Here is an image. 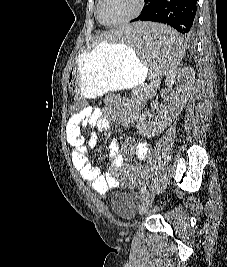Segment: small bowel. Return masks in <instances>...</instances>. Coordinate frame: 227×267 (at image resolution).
I'll return each mask as SVG.
<instances>
[{
	"instance_id": "c3829d8e",
	"label": "small bowel",
	"mask_w": 227,
	"mask_h": 267,
	"mask_svg": "<svg viewBox=\"0 0 227 267\" xmlns=\"http://www.w3.org/2000/svg\"><path fill=\"white\" fill-rule=\"evenodd\" d=\"M140 112V105L128 98L117 101V107L113 111H104L94 106L85 107L80 115H71L67 121L65 134L67 142L73 147L71 159L79 176L88 182L92 189L98 193H106L118 186L119 179L114 171L102 175L98 168H95L87 158L86 139L82 129L89 131L88 145H98V133L110 129L113 120L123 124H135ZM126 152L138 161L146 160L149 156V148L146 142L130 138L124 145ZM110 164L119 167L123 164L125 157L121 153V146L113 141L108 146Z\"/></svg>"
}]
</instances>
